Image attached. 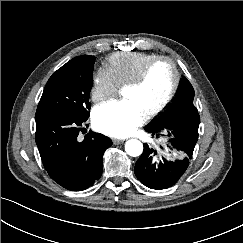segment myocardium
<instances>
[{"label": "myocardium", "instance_id": "1", "mask_svg": "<svg viewBox=\"0 0 243 243\" xmlns=\"http://www.w3.org/2000/svg\"><path fill=\"white\" fill-rule=\"evenodd\" d=\"M160 62H168L172 69H173V83L171 86V89L167 95V97L165 98V100L154 110H152L151 112H149L148 114L145 115V119L146 120H150L153 119L154 117L158 116L159 114H161L173 101V99L176 96V93L178 91L179 88V84H180V72L178 69V66L176 64V62L167 56H157L156 58L152 59L151 61H149L140 71V73L137 75L136 78H134L132 81H130L129 83H127L124 88L125 89H136L141 87L145 80L147 79V76L149 74V72L151 71V69L158 63Z\"/></svg>", "mask_w": 243, "mask_h": 243}]
</instances>
